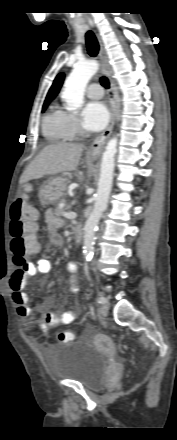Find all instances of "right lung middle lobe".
Instances as JSON below:
<instances>
[{"mask_svg": "<svg viewBox=\"0 0 177 440\" xmlns=\"http://www.w3.org/2000/svg\"><path fill=\"white\" fill-rule=\"evenodd\" d=\"M47 105H48V102H46V103L43 104L42 112H44V111L46 110Z\"/></svg>", "mask_w": 177, "mask_h": 440, "instance_id": "1", "label": "right lung middle lobe"}]
</instances>
